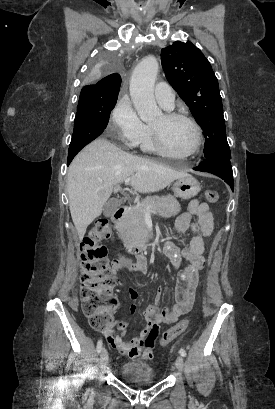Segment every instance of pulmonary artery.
I'll return each mask as SVG.
<instances>
[{
    "instance_id": "pulmonary-artery-1",
    "label": "pulmonary artery",
    "mask_w": 275,
    "mask_h": 409,
    "mask_svg": "<svg viewBox=\"0 0 275 409\" xmlns=\"http://www.w3.org/2000/svg\"><path fill=\"white\" fill-rule=\"evenodd\" d=\"M155 97L158 104L165 110H172L174 107V93L172 87L159 85L155 90Z\"/></svg>"
}]
</instances>
